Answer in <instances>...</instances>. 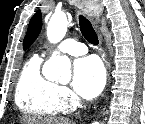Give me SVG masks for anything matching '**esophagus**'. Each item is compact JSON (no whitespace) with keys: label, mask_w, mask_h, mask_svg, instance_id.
I'll return each instance as SVG.
<instances>
[{"label":"esophagus","mask_w":145,"mask_h":124,"mask_svg":"<svg viewBox=\"0 0 145 124\" xmlns=\"http://www.w3.org/2000/svg\"><path fill=\"white\" fill-rule=\"evenodd\" d=\"M102 11H103V6L100 3V1H93L91 3V7L85 9V12L89 17V20L91 21V23L93 24V26L96 29H98L99 20H100V16L102 14ZM99 40H100V44H102V36H101L100 33H99ZM106 66L109 70L110 69V63L107 59H106Z\"/></svg>","instance_id":"esophagus-1"}]
</instances>
